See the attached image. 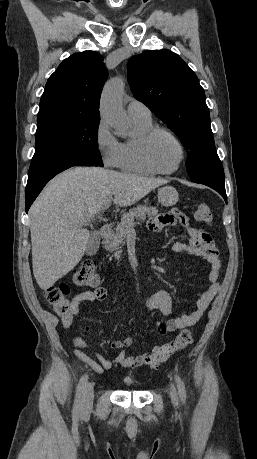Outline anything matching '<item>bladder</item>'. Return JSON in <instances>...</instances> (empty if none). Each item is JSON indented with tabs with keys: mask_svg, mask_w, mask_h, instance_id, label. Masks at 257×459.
Returning <instances> with one entry per match:
<instances>
[{
	"mask_svg": "<svg viewBox=\"0 0 257 459\" xmlns=\"http://www.w3.org/2000/svg\"><path fill=\"white\" fill-rule=\"evenodd\" d=\"M124 382H125L127 385H133V384H134V381H133V379H131V378H125V379H124Z\"/></svg>",
	"mask_w": 257,
	"mask_h": 459,
	"instance_id": "1",
	"label": "bladder"
}]
</instances>
